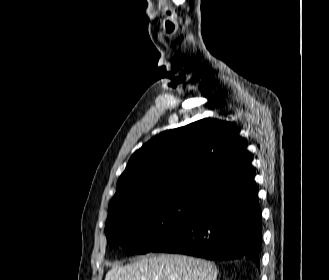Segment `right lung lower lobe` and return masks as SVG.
Here are the masks:
<instances>
[{"mask_svg": "<svg viewBox=\"0 0 329 280\" xmlns=\"http://www.w3.org/2000/svg\"><path fill=\"white\" fill-rule=\"evenodd\" d=\"M250 163L217 179L185 223L150 252L210 260L249 259L260 267L261 211Z\"/></svg>", "mask_w": 329, "mask_h": 280, "instance_id": "right-lung-lower-lobe-1", "label": "right lung lower lobe"}]
</instances>
